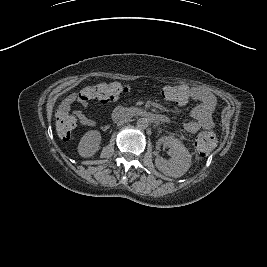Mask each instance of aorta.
<instances>
[{
  "label": "aorta",
  "instance_id": "obj_1",
  "mask_svg": "<svg viewBox=\"0 0 267 267\" xmlns=\"http://www.w3.org/2000/svg\"><path fill=\"white\" fill-rule=\"evenodd\" d=\"M149 122L146 118H139L136 122V126L140 130H144L148 127Z\"/></svg>",
  "mask_w": 267,
  "mask_h": 267
}]
</instances>
